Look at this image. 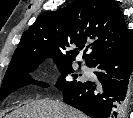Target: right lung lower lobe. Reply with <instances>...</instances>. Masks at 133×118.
I'll return each mask as SVG.
<instances>
[{"instance_id":"right-lung-lower-lobe-1","label":"right lung lower lobe","mask_w":133,"mask_h":118,"mask_svg":"<svg viewBox=\"0 0 133 118\" xmlns=\"http://www.w3.org/2000/svg\"><path fill=\"white\" fill-rule=\"evenodd\" d=\"M89 67L96 70L99 82H83L63 90L64 102L92 118L124 117L133 70L131 40L98 57Z\"/></svg>"}]
</instances>
